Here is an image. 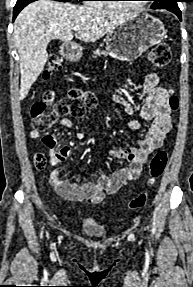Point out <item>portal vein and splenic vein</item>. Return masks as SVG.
<instances>
[{"mask_svg": "<svg viewBox=\"0 0 193 287\" xmlns=\"http://www.w3.org/2000/svg\"><path fill=\"white\" fill-rule=\"evenodd\" d=\"M80 29V27L79 26H75V27H73V30L74 31H78Z\"/></svg>", "mask_w": 193, "mask_h": 287, "instance_id": "18ae733b", "label": "portal vein and splenic vein"}]
</instances>
